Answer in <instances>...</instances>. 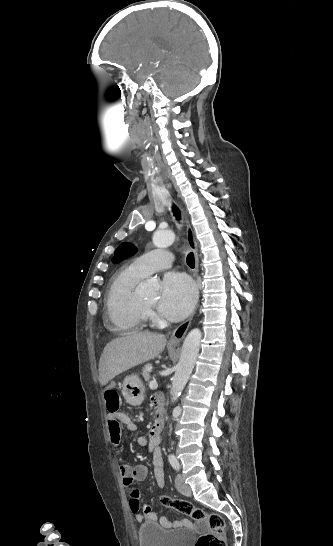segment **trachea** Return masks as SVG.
<instances>
[{"instance_id":"3493384b","label":"trachea","mask_w":333,"mask_h":546,"mask_svg":"<svg viewBox=\"0 0 333 546\" xmlns=\"http://www.w3.org/2000/svg\"><path fill=\"white\" fill-rule=\"evenodd\" d=\"M172 211L175 215V217L180 220V211L178 209V207L176 205H173L172 206ZM186 262L188 264V266L190 268H194L195 266V259H194V254L192 252H190L188 255H187V258H186Z\"/></svg>"}]
</instances>
